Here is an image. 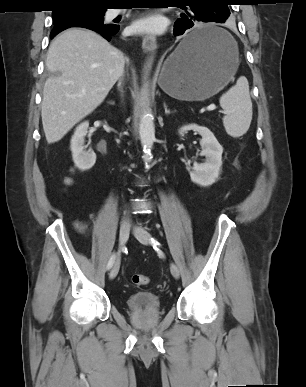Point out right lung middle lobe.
<instances>
[{"label": "right lung middle lobe", "mask_w": 306, "mask_h": 387, "mask_svg": "<svg viewBox=\"0 0 306 387\" xmlns=\"http://www.w3.org/2000/svg\"><path fill=\"white\" fill-rule=\"evenodd\" d=\"M101 7L80 6V8H61L52 13L54 28L51 35L70 27L105 26ZM111 26V25H108Z\"/></svg>", "instance_id": "right-lung-middle-lobe-1"}]
</instances>
